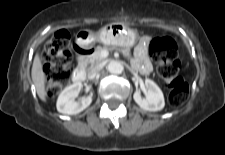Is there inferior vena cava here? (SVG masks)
Here are the masks:
<instances>
[{
    "instance_id": "602c4592",
    "label": "inferior vena cava",
    "mask_w": 225,
    "mask_h": 155,
    "mask_svg": "<svg viewBox=\"0 0 225 155\" xmlns=\"http://www.w3.org/2000/svg\"><path fill=\"white\" fill-rule=\"evenodd\" d=\"M103 68V65L102 64H97L93 67H91L89 70H88V79H94L98 74L99 72L102 70Z\"/></svg>"
}]
</instances>
